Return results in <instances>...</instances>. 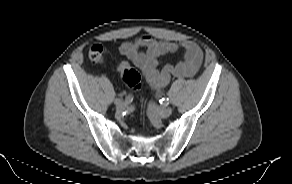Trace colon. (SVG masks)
Instances as JSON below:
<instances>
[{"label": "colon", "mask_w": 292, "mask_h": 184, "mask_svg": "<svg viewBox=\"0 0 292 184\" xmlns=\"http://www.w3.org/2000/svg\"><path fill=\"white\" fill-rule=\"evenodd\" d=\"M88 55L92 61L102 62L106 56V50L102 45L94 44L90 47ZM120 71L126 85L132 90H138L140 87L139 73L129 65L123 66Z\"/></svg>", "instance_id": "obj_1"}]
</instances>
